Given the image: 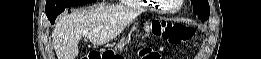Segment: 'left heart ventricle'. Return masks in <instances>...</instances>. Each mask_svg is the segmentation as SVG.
I'll use <instances>...</instances> for the list:
<instances>
[{
    "mask_svg": "<svg viewBox=\"0 0 261 59\" xmlns=\"http://www.w3.org/2000/svg\"><path fill=\"white\" fill-rule=\"evenodd\" d=\"M166 3H168V5L171 8H174L176 6V4L178 3V1L177 0H168V1H166Z\"/></svg>",
    "mask_w": 261,
    "mask_h": 59,
    "instance_id": "1",
    "label": "left heart ventricle"
}]
</instances>
